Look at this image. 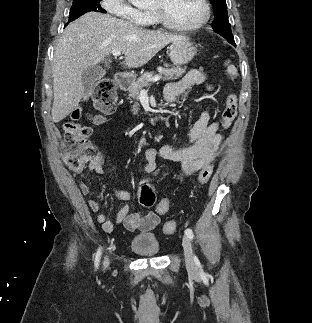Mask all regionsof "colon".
I'll list each match as a JSON object with an SVG mask.
<instances>
[{"label":"colon","instance_id":"obj_1","mask_svg":"<svg viewBox=\"0 0 312 323\" xmlns=\"http://www.w3.org/2000/svg\"><path fill=\"white\" fill-rule=\"evenodd\" d=\"M117 92L113 80L109 77H101L97 80L94 91V104L100 114L111 112L117 104ZM238 98L235 92L230 91L225 101L223 112V127L228 128L234 122L237 115ZM103 117L99 115L97 121ZM92 130L87 125H78L74 122H67L63 132V147L65 148V157L68 168L72 172H77L83 168L89 161L96 156V149L90 142L89 136ZM213 172L211 165H206L199 174V183L205 184L210 179ZM157 177V174H154ZM140 183L145 184L138 188L139 202L145 206H153L155 202L154 188L149 185L148 177H141ZM168 202H157L156 213H168ZM177 222L169 221L162 227L165 234H173L177 230Z\"/></svg>","mask_w":312,"mask_h":323}]
</instances>
